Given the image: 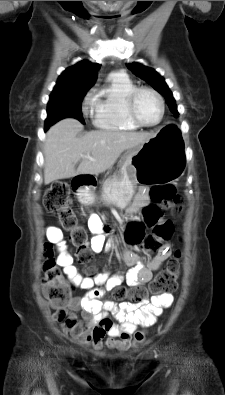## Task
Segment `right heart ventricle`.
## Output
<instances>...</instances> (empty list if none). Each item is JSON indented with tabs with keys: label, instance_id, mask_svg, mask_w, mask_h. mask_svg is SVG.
Here are the masks:
<instances>
[{
	"label": "right heart ventricle",
	"instance_id": "obj_1",
	"mask_svg": "<svg viewBox=\"0 0 225 395\" xmlns=\"http://www.w3.org/2000/svg\"><path fill=\"white\" fill-rule=\"evenodd\" d=\"M135 87L124 73H111L107 76L92 99L94 124L97 128L112 131H132L139 128L128 118L125 107L126 98Z\"/></svg>",
	"mask_w": 225,
	"mask_h": 395
}]
</instances>
